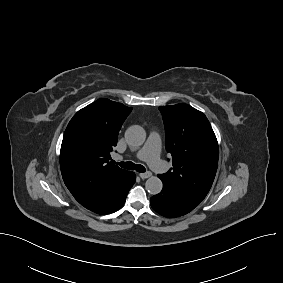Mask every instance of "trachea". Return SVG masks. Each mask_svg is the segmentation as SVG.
<instances>
[{
  "label": "trachea",
  "mask_w": 283,
  "mask_h": 283,
  "mask_svg": "<svg viewBox=\"0 0 283 283\" xmlns=\"http://www.w3.org/2000/svg\"><path fill=\"white\" fill-rule=\"evenodd\" d=\"M120 167L128 170H136L137 172L144 173L145 167L141 164H134L131 161L117 163Z\"/></svg>",
  "instance_id": "1"
}]
</instances>
